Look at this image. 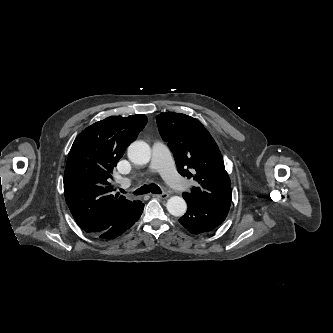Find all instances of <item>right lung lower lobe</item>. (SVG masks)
Wrapping results in <instances>:
<instances>
[{"label":"right lung lower lobe","instance_id":"1","mask_svg":"<svg viewBox=\"0 0 333 333\" xmlns=\"http://www.w3.org/2000/svg\"><path fill=\"white\" fill-rule=\"evenodd\" d=\"M143 208L144 204L139 201L138 207L133 212L122 218L120 221H118L105 231H102L94 236L104 239H113L120 236L122 233L132 227L133 224L139 219L142 214Z\"/></svg>","mask_w":333,"mask_h":333}]
</instances>
